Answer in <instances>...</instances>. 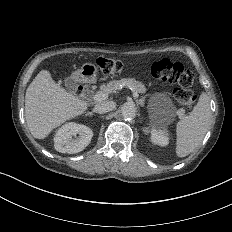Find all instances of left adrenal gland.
I'll list each match as a JSON object with an SVG mask.
<instances>
[{"label": "left adrenal gland", "instance_id": "obj_1", "mask_svg": "<svg viewBox=\"0 0 232 232\" xmlns=\"http://www.w3.org/2000/svg\"><path fill=\"white\" fill-rule=\"evenodd\" d=\"M137 103L141 106V107H143L144 106V99H140V100H138L137 101Z\"/></svg>", "mask_w": 232, "mask_h": 232}]
</instances>
